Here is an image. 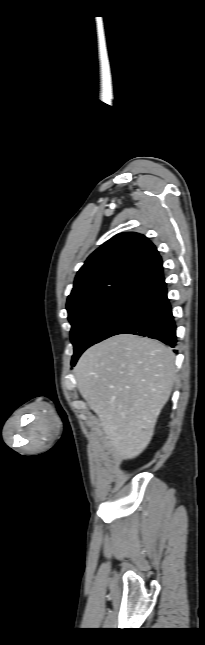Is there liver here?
I'll use <instances>...</instances> for the list:
<instances>
[{
  "instance_id": "6515ba94",
  "label": "liver",
  "mask_w": 205,
  "mask_h": 645,
  "mask_svg": "<svg viewBox=\"0 0 205 645\" xmlns=\"http://www.w3.org/2000/svg\"><path fill=\"white\" fill-rule=\"evenodd\" d=\"M74 373L113 455H140L176 379L172 349L147 337L116 335L87 349Z\"/></svg>"
}]
</instances>
